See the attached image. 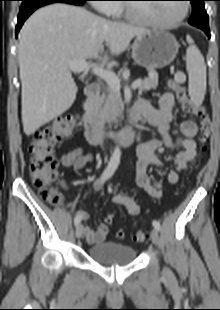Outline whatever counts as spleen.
Masks as SVG:
<instances>
[{
	"mask_svg": "<svg viewBox=\"0 0 220 310\" xmlns=\"http://www.w3.org/2000/svg\"><path fill=\"white\" fill-rule=\"evenodd\" d=\"M189 47L186 50V66L189 76V94L193 102L201 104L206 93V65L194 41L187 36Z\"/></svg>",
	"mask_w": 220,
	"mask_h": 310,
	"instance_id": "3e777b00",
	"label": "spleen"
}]
</instances>
